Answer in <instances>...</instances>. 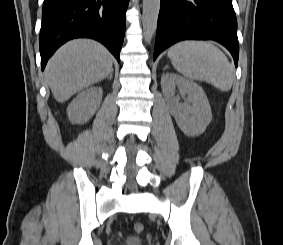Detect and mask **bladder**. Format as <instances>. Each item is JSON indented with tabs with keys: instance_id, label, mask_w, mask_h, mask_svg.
Returning <instances> with one entry per match:
<instances>
[{
	"instance_id": "31cf9c89",
	"label": "bladder",
	"mask_w": 283,
	"mask_h": 245,
	"mask_svg": "<svg viewBox=\"0 0 283 245\" xmlns=\"http://www.w3.org/2000/svg\"><path fill=\"white\" fill-rule=\"evenodd\" d=\"M124 245H143L144 240L139 236H132L125 240Z\"/></svg>"
}]
</instances>
